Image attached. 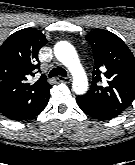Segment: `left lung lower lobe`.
I'll use <instances>...</instances> for the list:
<instances>
[{
    "label": "left lung lower lobe",
    "mask_w": 135,
    "mask_h": 165,
    "mask_svg": "<svg viewBox=\"0 0 135 165\" xmlns=\"http://www.w3.org/2000/svg\"><path fill=\"white\" fill-rule=\"evenodd\" d=\"M76 101L82 111L93 118L105 120L116 117V115L110 113L104 108L94 103L88 102L80 97H77Z\"/></svg>",
    "instance_id": "obj_1"
}]
</instances>
